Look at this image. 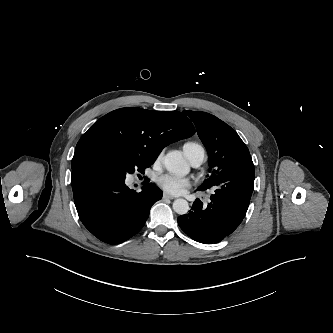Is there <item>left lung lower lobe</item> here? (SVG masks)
Here are the masks:
<instances>
[{
	"label": "left lung lower lobe",
	"mask_w": 333,
	"mask_h": 333,
	"mask_svg": "<svg viewBox=\"0 0 333 333\" xmlns=\"http://www.w3.org/2000/svg\"><path fill=\"white\" fill-rule=\"evenodd\" d=\"M232 167V166H231ZM217 177L219 185L207 207L196 199L188 214L178 217V225L192 239L204 244L218 243L242 222L249 207L254 187V164L251 157L235 162Z\"/></svg>",
	"instance_id": "1"
}]
</instances>
